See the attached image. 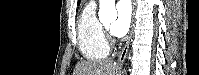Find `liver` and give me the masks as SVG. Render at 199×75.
Returning <instances> with one entry per match:
<instances>
[{
	"label": "liver",
	"instance_id": "1",
	"mask_svg": "<svg viewBox=\"0 0 199 75\" xmlns=\"http://www.w3.org/2000/svg\"><path fill=\"white\" fill-rule=\"evenodd\" d=\"M119 67L112 61L79 62L73 75H119Z\"/></svg>",
	"mask_w": 199,
	"mask_h": 75
}]
</instances>
